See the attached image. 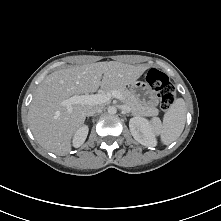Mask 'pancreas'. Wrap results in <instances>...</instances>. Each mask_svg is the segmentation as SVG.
I'll return each mask as SVG.
<instances>
[{
	"label": "pancreas",
	"mask_w": 221,
	"mask_h": 221,
	"mask_svg": "<svg viewBox=\"0 0 221 221\" xmlns=\"http://www.w3.org/2000/svg\"><path fill=\"white\" fill-rule=\"evenodd\" d=\"M118 91L122 95L121 101L128 106L133 115H157L158 110L140 102L136 96L123 85L109 86L105 92Z\"/></svg>",
	"instance_id": "pancreas-1"
}]
</instances>
